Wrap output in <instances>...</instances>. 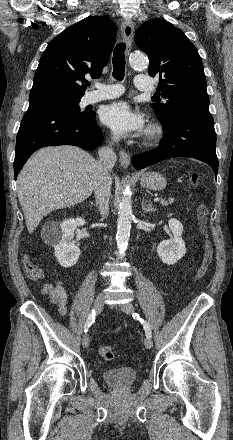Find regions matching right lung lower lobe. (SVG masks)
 I'll use <instances>...</instances> for the list:
<instances>
[{
	"label": "right lung lower lobe",
	"mask_w": 233,
	"mask_h": 440,
	"mask_svg": "<svg viewBox=\"0 0 233 440\" xmlns=\"http://www.w3.org/2000/svg\"><path fill=\"white\" fill-rule=\"evenodd\" d=\"M95 116L82 117L57 107L29 106L17 134L15 179L31 154L42 147L68 144L93 150L102 144L104 137Z\"/></svg>",
	"instance_id": "98d812e1"
}]
</instances>
